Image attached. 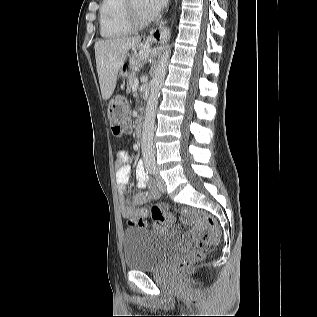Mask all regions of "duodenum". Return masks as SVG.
Wrapping results in <instances>:
<instances>
[{
	"label": "duodenum",
	"mask_w": 317,
	"mask_h": 317,
	"mask_svg": "<svg viewBox=\"0 0 317 317\" xmlns=\"http://www.w3.org/2000/svg\"><path fill=\"white\" fill-rule=\"evenodd\" d=\"M137 131H138V137H141L143 134H142V128L140 125L138 126Z\"/></svg>",
	"instance_id": "1"
}]
</instances>
